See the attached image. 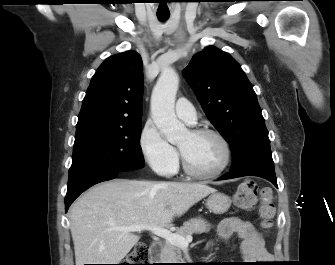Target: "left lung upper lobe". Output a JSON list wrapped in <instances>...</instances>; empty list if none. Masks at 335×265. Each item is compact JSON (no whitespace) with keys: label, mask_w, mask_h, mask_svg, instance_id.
Masks as SVG:
<instances>
[{"label":"left lung upper lobe","mask_w":335,"mask_h":265,"mask_svg":"<svg viewBox=\"0 0 335 265\" xmlns=\"http://www.w3.org/2000/svg\"><path fill=\"white\" fill-rule=\"evenodd\" d=\"M183 74L206 116L231 147V171L275 173L261 108L240 65L228 53L209 46L193 56Z\"/></svg>","instance_id":"1"}]
</instances>
